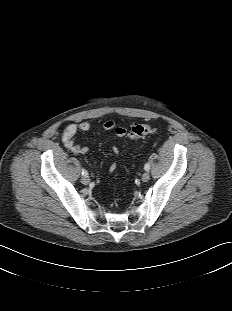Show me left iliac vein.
Masks as SVG:
<instances>
[{
    "instance_id": "4c4485c4",
    "label": "left iliac vein",
    "mask_w": 232,
    "mask_h": 311,
    "mask_svg": "<svg viewBox=\"0 0 232 311\" xmlns=\"http://www.w3.org/2000/svg\"><path fill=\"white\" fill-rule=\"evenodd\" d=\"M149 179H150V174H149V172H144L143 175H142V177H141V180H142L143 182H147Z\"/></svg>"
}]
</instances>
